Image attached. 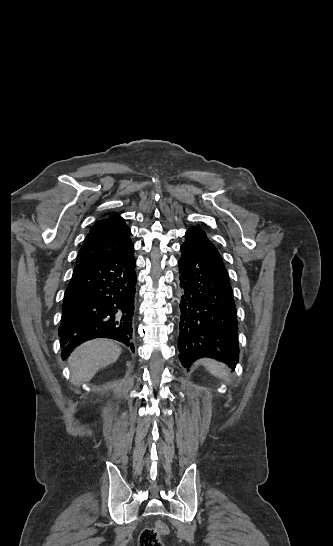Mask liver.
<instances>
[{
    "mask_svg": "<svg viewBox=\"0 0 333 546\" xmlns=\"http://www.w3.org/2000/svg\"><path fill=\"white\" fill-rule=\"evenodd\" d=\"M121 348L108 339H95L76 348L68 359L71 382L79 386L90 381L99 369L118 360Z\"/></svg>",
    "mask_w": 333,
    "mask_h": 546,
    "instance_id": "liver-1",
    "label": "liver"
}]
</instances>
